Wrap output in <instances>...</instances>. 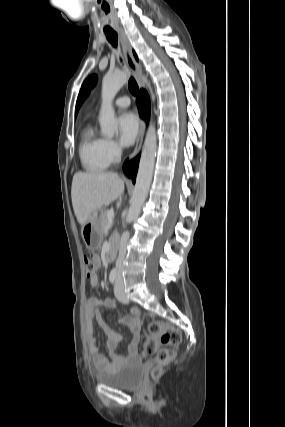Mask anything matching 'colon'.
<instances>
[{
    "label": "colon",
    "mask_w": 285,
    "mask_h": 427,
    "mask_svg": "<svg viewBox=\"0 0 285 427\" xmlns=\"http://www.w3.org/2000/svg\"><path fill=\"white\" fill-rule=\"evenodd\" d=\"M85 275L87 279L96 276L97 263L89 257H84ZM148 337L143 343L145 355L156 354L157 366L152 371L153 377H158L162 367L175 356L176 349L181 343L180 332L162 321H151L147 326ZM163 345V347H159Z\"/></svg>",
    "instance_id": "1"
}]
</instances>
